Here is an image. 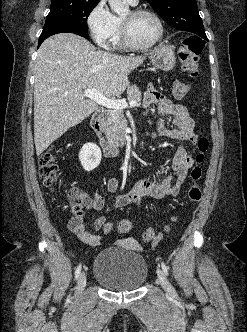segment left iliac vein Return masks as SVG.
I'll use <instances>...</instances> for the list:
<instances>
[{
  "instance_id": "left-iliac-vein-1",
  "label": "left iliac vein",
  "mask_w": 247,
  "mask_h": 332,
  "mask_svg": "<svg viewBox=\"0 0 247 332\" xmlns=\"http://www.w3.org/2000/svg\"><path fill=\"white\" fill-rule=\"evenodd\" d=\"M157 276H158V281L162 288L166 291L168 294H173L174 289L172 285L169 283V281L166 279L165 274L161 269H157Z\"/></svg>"
}]
</instances>
